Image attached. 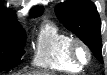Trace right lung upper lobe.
Returning a JSON list of instances; mask_svg holds the SVG:
<instances>
[{
	"label": "right lung upper lobe",
	"instance_id": "cb5924a9",
	"mask_svg": "<svg viewBox=\"0 0 107 75\" xmlns=\"http://www.w3.org/2000/svg\"><path fill=\"white\" fill-rule=\"evenodd\" d=\"M42 13V7H35L31 10L32 16H40ZM10 24H18L15 19V15L0 4V30Z\"/></svg>",
	"mask_w": 107,
	"mask_h": 75
}]
</instances>
